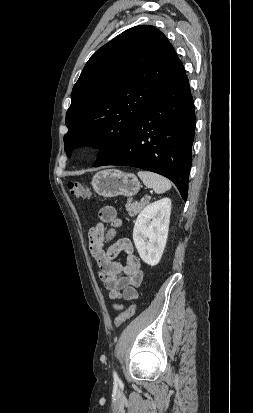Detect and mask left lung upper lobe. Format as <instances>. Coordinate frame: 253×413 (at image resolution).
<instances>
[{"mask_svg":"<svg viewBox=\"0 0 253 413\" xmlns=\"http://www.w3.org/2000/svg\"><path fill=\"white\" fill-rule=\"evenodd\" d=\"M177 61L166 36L151 25L130 28L97 50L72 90L64 136L68 157L83 145L100 148L93 166L113 156Z\"/></svg>","mask_w":253,"mask_h":413,"instance_id":"1","label":"left lung upper lobe"}]
</instances>
